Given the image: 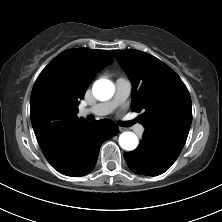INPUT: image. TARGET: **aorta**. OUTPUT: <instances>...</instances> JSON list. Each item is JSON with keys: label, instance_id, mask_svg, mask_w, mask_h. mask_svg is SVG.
<instances>
[{"label": "aorta", "instance_id": "obj_1", "mask_svg": "<svg viewBox=\"0 0 222 222\" xmlns=\"http://www.w3.org/2000/svg\"><path fill=\"white\" fill-rule=\"evenodd\" d=\"M92 92L96 99L105 101L114 95L115 87L110 80L99 79L93 84ZM119 145L127 151H132L138 145V138L133 132H123L119 136Z\"/></svg>", "mask_w": 222, "mask_h": 222}]
</instances>
